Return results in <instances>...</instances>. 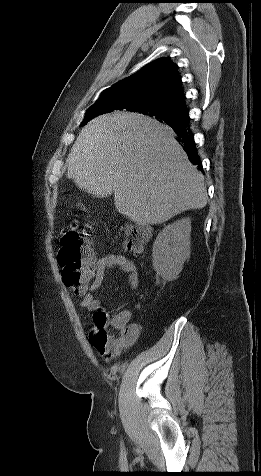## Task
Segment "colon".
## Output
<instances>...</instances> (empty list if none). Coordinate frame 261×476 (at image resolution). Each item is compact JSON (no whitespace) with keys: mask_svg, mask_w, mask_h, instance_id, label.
Masks as SVG:
<instances>
[{"mask_svg":"<svg viewBox=\"0 0 261 476\" xmlns=\"http://www.w3.org/2000/svg\"><path fill=\"white\" fill-rule=\"evenodd\" d=\"M87 227L67 232L61 239L58 260L63 268L64 284L73 291L84 289L90 282L93 271V256L84 243ZM128 239L125 247L133 254H139L144 241L149 237L145 228L126 229ZM124 333L108 325L107 314L99 310L93 315V328L90 334L92 346L102 355H110L124 341Z\"/></svg>","mask_w":261,"mask_h":476,"instance_id":"1","label":"colon"}]
</instances>
